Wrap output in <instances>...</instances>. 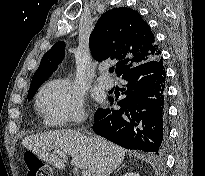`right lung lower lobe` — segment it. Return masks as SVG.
Returning <instances> with one entry per match:
<instances>
[{
    "label": "right lung lower lobe",
    "mask_w": 205,
    "mask_h": 176,
    "mask_svg": "<svg viewBox=\"0 0 205 176\" xmlns=\"http://www.w3.org/2000/svg\"><path fill=\"white\" fill-rule=\"evenodd\" d=\"M126 97L119 110L98 109L96 134L127 149L163 154L166 148V75L163 59H150L123 73Z\"/></svg>",
    "instance_id": "1"
}]
</instances>
